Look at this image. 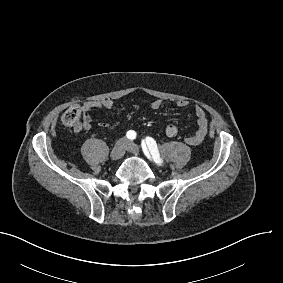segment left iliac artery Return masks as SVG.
<instances>
[{
  "mask_svg": "<svg viewBox=\"0 0 283 283\" xmlns=\"http://www.w3.org/2000/svg\"><path fill=\"white\" fill-rule=\"evenodd\" d=\"M141 146H142V150H143L144 154L148 158H150V154H151L153 160L156 163L161 164L163 162L162 159L160 158V155H159V152H158V149H157L156 141L153 138L146 137L145 140H142Z\"/></svg>",
  "mask_w": 283,
  "mask_h": 283,
  "instance_id": "44dca946",
  "label": "left iliac artery"
}]
</instances>
